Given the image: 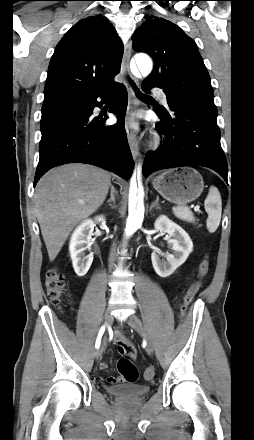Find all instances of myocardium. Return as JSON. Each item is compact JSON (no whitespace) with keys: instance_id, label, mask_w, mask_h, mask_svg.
Returning <instances> with one entry per match:
<instances>
[{"instance_id":"1","label":"myocardium","mask_w":254,"mask_h":440,"mask_svg":"<svg viewBox=\"0 0 254 440\" xmlns=\"http://www.w3.org/2000/svg\"><path fill=\"white\" fill-rule=\"evenodd\" d=\"M159 142V139H156V143H158Z\"/></svg>"}]
</instances>
